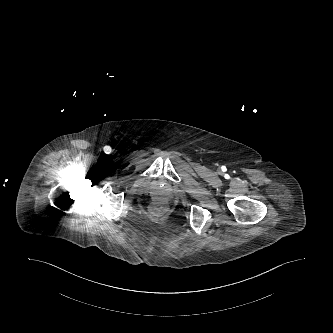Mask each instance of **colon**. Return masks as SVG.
Here are the masks:
<instances>
[{
	"label": "colon",
	"mask_w": 333,
	"mask_h": 333,
	"mask_svg": "<svg viewBox=\"0 0 333 333\" xmlns=\"http://www.w3.org/2000/svg\"><path fill=\"white\" fill-rule=\"evenodd\" d=\"M161 210H162V207H158V208H157V211H161Z\"/></svg>",
	"instance_id": "colon-1"
}]
</instances>
